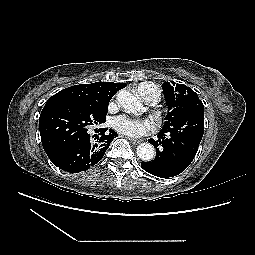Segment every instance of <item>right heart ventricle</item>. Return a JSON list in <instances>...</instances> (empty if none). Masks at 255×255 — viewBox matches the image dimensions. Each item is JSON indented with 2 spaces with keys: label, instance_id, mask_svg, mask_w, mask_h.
I'll list each match as a JSON object with an SVG mask.
<instances>
[{
  "label": "right heart ventricle",
  "instance_id": "right-heart-ventricle-1",
  "mask_svg": "<svg viewBox=\"0 0 255 255\" xmlns=\"http://www.w3.org/2000/svg\"><path fill=\"white\" fill-rule=\"evenodd\" d=\"M146 83H148V82H146ZM142 84H143V83H142ZM148 84L158 92L159 96L161 95V92H160V89L158 88V86H156V85L153 84V83H148ZM140 85H141V84H140ZM140 85H138V86L136 87V92H137V89H138V87H139Z\"/></svg>",
  "mask_w": 255,
  "mask_h": 255
}]
</instances>
